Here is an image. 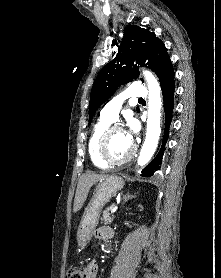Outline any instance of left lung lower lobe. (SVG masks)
I'll list each match as a JSON object with an SVG mask.
<instances>
[{
	"instance_id": "obj_1",
	"label": "left lung lower lobe",
	"mask_w": 221,
	"mask_h": 278,
	"mask_svg": "<svg viewBox=\"0 0 221 278\" xmlns=\"http://www.w3.org/2000/svg\"><path fill=\"white\" fill-rule=\"evenodd\" d=\"M158 78L161 84L163 100H164V112H165V131L162 140V146L160 152L155 159L142 171L141 176L150 177L156 171L161 168V161L165 150V144L168 140L169 126L172 119V111L174 106V71L171 61L159 72Z\"/></svg>"
}]
</instances>
